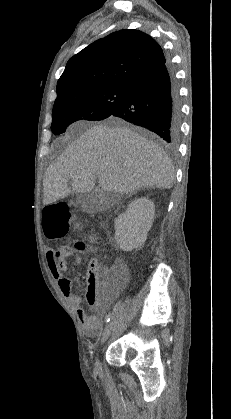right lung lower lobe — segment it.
Here are the masks:
<instances>
[{"mask_svg": "<svg viewBox=\"0 0 231 419\" xmlns=\"http://www.w3.org/2000/svg\"><path fill=\"white\" fill-rule=\"evenodd\" d=\"M110 116L141 125L174 146L179 137L180 100L169 62L138 79Z\"/></svg>", "mask_w": 231, "mask_h": 419, "instance_id": "obj_1", "label": "right lung lower lobe"}]
</instances>
